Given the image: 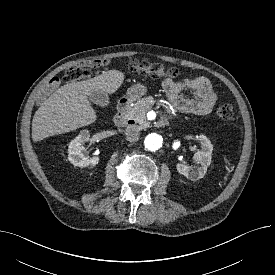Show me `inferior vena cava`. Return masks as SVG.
I'll list each match as a JSON object with an SVG mask.
<instances>
[{
    "label": "inferior vena cava",
    "mask_w": 275,
    "mask_h": 275,
    "mask_svg": "<svg viewBox=\"0 0 275 275\" xmlns=\"http://www.w3.org/2000/svg\"><path fill=\"white\" fill-rule=\"evenodd\" d=\"M125 135H126L128 141H130V142L136 141L139 138L140 129H139V127L134 126V125L127 126L125 129Z\"/></svg>",
    "instance_id": "602c4592"
}]
</instances>
